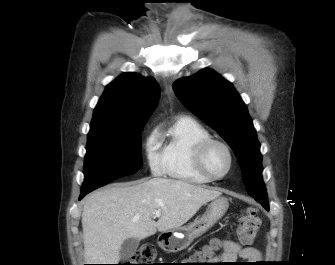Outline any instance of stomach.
<instances>
[{
	"label": "stomach",
	"instance_id": "obj_1",
	"mask_svg": "<svg viewBox=\"0 0 335 265\" xmlns=\"http://www.w3.org/2000/svg\"><path fill=\"white\" fill-rule=\"evenodd\" d=\"M229 207L226 197H217L208 205L206 212L192 223L178 229L162 232L158 236V245L169 253L179 252L187 248L191 242L207 232L219 221Z\"/></svg>",
	"mask_w": 335,
	"mask_h": 265
}]
</instances>
